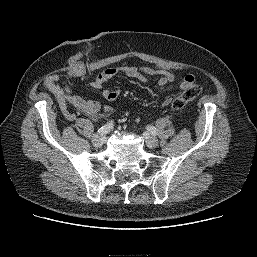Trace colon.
<instances>
[{"mask_svg": "<svg viewBox=\"0 0 257 257\" xmlns=\"http://www.w3.org/2000/svg\"><path fill=\"white\" fill-rule=\"evenodd\" d=\"M202 92V87L194 82L185 86L180 94L175 96L172 100L171 106L178 110L184 107L187 103L195 100Z\"/></svg>", "mask_w": 257, "mask_h": 257, "instance_id": "5ec220e1", "label": "colon"}]
</instances>
